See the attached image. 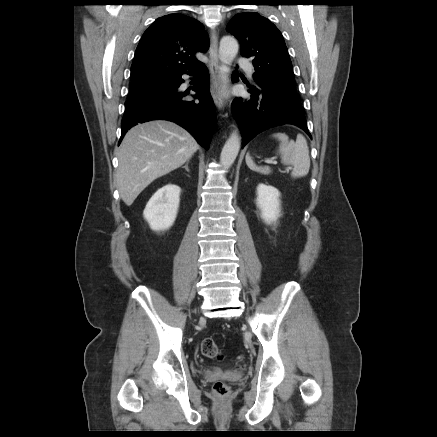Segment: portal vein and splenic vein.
Wrapping results in <instances>:
<instances>
[{"mask_svg":"<svg viewBox=\"0 0 437 437\" xmlns=\"http://www.w3.org/2000/svg\"><path fill=\"white\" fill-rule=\"evenodd\" d=\"M266 163H269V164H274V165H276L277 164V161H272V160H266ZM291 168L290 167H288L287 168V170H290Z\"/></svg>","mask_w":437,"mask_h":437,"instance_id":"1","label":"portal vein and splenic vein"}]
</instances>
